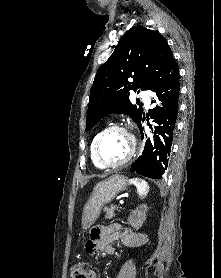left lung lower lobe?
<instances>
[{
  "label": "left lung lower lobe",
  "mask_w": 221,
  "mask_h": 278,
  "mask_svg": "<svg viewBox=\"0 0 221 278\" xmlns=\"http://www.w3.org/2000/svg\"><path fill=\"white\" fill-rule=\"evenodd\" d=\"M149 90L156 93L152 102L158 104L149 115L159 125L156 127V133L159 135L155 137L153 145L149 139L146 141L142 155L132 163L130 171L161 179L168 166L179 106V68L174 58L165 71L155 79ZM139 129L143 139L141 123Z\"/></svg>",
  "instance_id": "1"
}]
</instances>
